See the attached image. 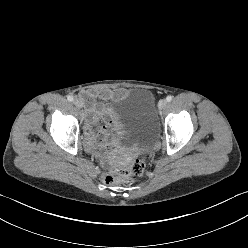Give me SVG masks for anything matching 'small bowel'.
I'll use <instances>...</instances> for the list:
<instances>
[{
  "mask_svg": "<svg viewBox=\"0 0 248 248\" xmlns=\"http://www.w3.org/2000/svg\"><path fill=\"white\" fill-rule=\"evenodd\" d=\"M125 89L113 91H87L82 95L86 111V140L88 147L93 151H104L114 144L113 134L116 131V118L113 109L109 105L97 103L96 100L117 99L124 96ZM110 143L107 142L111 136Z\"/></svg>",
  "mask_w": 248,
  "mask_h": 248,
  "instance_id": "c3829d8e",
  "label": "small bowel"
}]
</instances>
